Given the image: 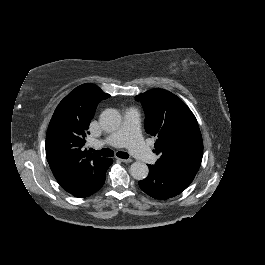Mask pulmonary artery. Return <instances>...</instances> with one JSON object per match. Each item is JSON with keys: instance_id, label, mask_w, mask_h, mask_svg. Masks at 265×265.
Listing matches in <instances>:
<instances>
[{"instance_id": "e3ab8cb5", "label": "pulmonary artery", "mask_w": 265, "mask_h": 265, "mask_svg": "<svg viewBox=\"0 0 265 265\" xmlns=\"http://www.w3.org/2000/svg\"><path fill=\"white\" fill-rule=\"evenodd\" d=\"M138 121L139 116L132 109H126L123 112V124L117 131L104 140L94 139L93 142L98 146L105 144L109 149L121 148L127 142L129 150L135 156L145 164H152L156 155L140 143Z\"/></svg>"}]
</instances>
